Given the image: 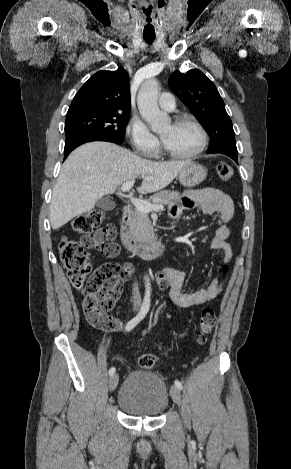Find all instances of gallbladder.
I'll use <instances>...</instances> for the list:
<instances>
[{"mask_svg": "<svg viewBox=\"0 0 291 469\" xmlns=\"http://www.w3.org/2000/svg\"><path fill=\"white\" fill-rule=\"evenodd\" d=\"M97 206L102 210L110 211L115 208L116 204L108 198H103L97 202Z\"/></svg>", "mask_w": 291, "mask_h": 469, "instance_id": "1", "label": "gallbladder"}]
</instances>
